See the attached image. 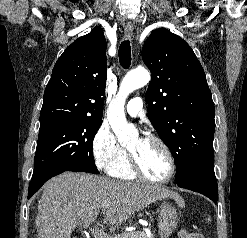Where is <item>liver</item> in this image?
<instances>
[{"instance_id":"1","label":"liver","mask_w":247,"mask_h":238,"mask_svg":"<svg viewBox=\"0 0 247 238\" xmlns=\"http://www.w3.org/2000/svg\"><path fill=\"white\" fill-rule=\"evenodd\" d=\"M168 198L181 201L177 193L159 185L66 172L43 186L35 220L38 238H71L77 225L95 219L99 211L105 224H121L136 211Z\"/></svg>"}]
</instances>
